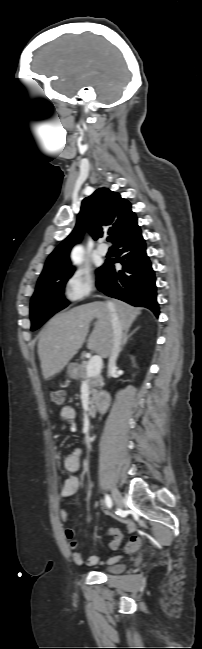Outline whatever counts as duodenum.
<instances>
[{
    "label": "duodenum",
    "mask_w": 202,
    "mask_h": 649,
    "mask_svg": "<svg viewBox=\"0 0 202 649\" xmlns=\"http://www.w3.org/2000/svg\"><path fill=\"white\" fill-rule=\"evenodd\" d=\"M108 405H109L108 395L105 393H98L96 396L95 408L104 411L107 409ZM92 413H95V410H91V414Z\"/></svg>",
    "instance_id": "obj_1"
}]
</instances>
